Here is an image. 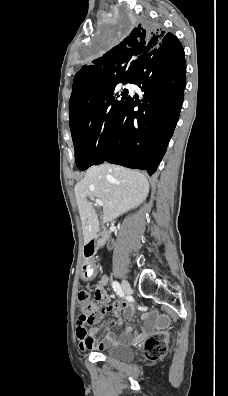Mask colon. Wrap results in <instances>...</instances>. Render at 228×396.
<instances>
[{
  "label": "colon",
  "instance_id": "5ec220e1",
  "mask_svg": "<svg viewBox=\"0 0 228 396\" xmlns=\"http://www.w3.org/2000/svg\"><path fill=\"white\" fill-rule=\"evenodd\" d=\"M80 308L79 324L86 326L92 323L97 307L87 291H80L77 297ZM168 335L166 333H156L145 341L144 348L146 355L151 360L162 358L167 352Z\"/></svg>",
  "mask_w": 228,
  "mask_h": 396
}]
</instances>
